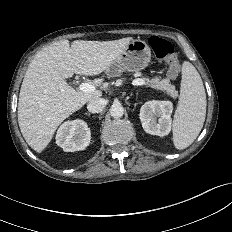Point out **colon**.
Segmentation results:
<instances>
[{"instance_id": "colon-1", "label": "colon", "mask_w": 232, "mask_h": 232, "mask_svg": "<svg viewBox=\"0 0 232 232\" xmlns=\"http://www.w3.org/2000/svg\"><path fill=\"white\" fill-rule=\"evenodd\" d=\"M149 44L155 56L167 63L168 76L172 79L176 78L180 73V63L173 45L168 40L158 36H152L149 40Z\"/></svg>"}]
</instances>
